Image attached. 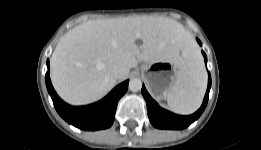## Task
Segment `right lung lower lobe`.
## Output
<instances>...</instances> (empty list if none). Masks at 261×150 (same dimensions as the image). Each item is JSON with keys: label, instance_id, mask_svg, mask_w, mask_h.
I'll use <instances>...</instances> for the list:
<instances>
[{"label": "right lung lower lobe", "instance_id": "right-lung-lower-lobe-1", "mask_svg": "<svg viewBox=\"0 0 261 150\" xmlns=\"http://www.w3.org/2000/svg\"><path fill=\"white\" fill-rule=\"evenodd\" d=\"M49 67V60L47 61ZM47 90L59 115L73 126L83 130L105 129L112 125L119 99L128 88V80L115 87L101 101L81 107L63 102L52 87L49 72L45 75Z\"/></svg>", "mask_w": 261, "mask_h": 150}]
</instances>
